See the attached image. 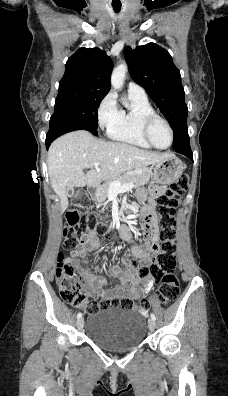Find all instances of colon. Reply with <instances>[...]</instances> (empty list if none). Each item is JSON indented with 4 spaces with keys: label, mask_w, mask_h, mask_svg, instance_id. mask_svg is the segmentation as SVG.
Instances as JSON below:
<instances>
[{
    "label": "colon",
    "mask_w": 228,
    "mask_h": 396,
    "mask_svg": "<svg viewBox=\"0 0 228 396\" xmlns=\"http://www.w3.org/2000/svg\"><path fill=\"white\" fill-rule=\"evenodd\" d=\"M190 177L183 174L173 182L166 191L158 197L156 214L159 224V241L157 246L149 242L150 249L158 248L156 262L150 266L139 265L137 261H132L133 267L137 268L141 279L149 276L158 278V288L156 290V299L160 304L166 305L174 301L178 296V278L172 272L177 265L175 256L176 251V230H175V210L178 205V199L188 190ZM74 208L68 211L66 215V224L64 229L65 245L68 247L78 246L85 240V234L88 230H98L96 226V217L89 214L83 217L79 208H87L90 200L87 194L77 193L72 199ZM145 229V236L149 239ZM62 254L58 255V264L56 267V283L62 299L68 303L74 304L83 309L86 315L94 314L110 305L119 306L124 309L146 311L150 305L149 300H143L136 304L129 298L120 300L114 299L111 302L107 300L88 301L81 290V282L74 268L64 263Z\"/></svg>",
    "instance_id": "1"
}]
</instances>
